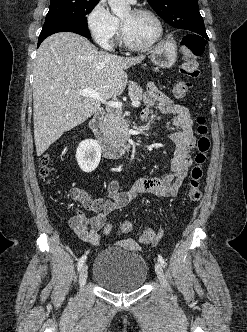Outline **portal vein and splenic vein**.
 I'll return each mask as SVG.
<instances>
[{
  "mask_svg": "<svg viewBox=\"0 0 247 332\" xmlns=\"http://www.w3.org/2000/svg\"><path fill=\"white\" fill-rule=\"evenodd\" d=\"M75 93L84 96V97H89V98H93V99H97L99 101H101L104 104H107L110 107L113 108H121L122 107V102L119 101H106V99H102L99 94L93 90V89H81L76 91ZM132 106L134 107H139L140 106V101L138 100H134L132 101Z\"/></svg>",
  "mask_w": 247,
  "mask_h": 332,
  "instance_id": "obj_1",
  "label": "portal vein and splenic vein"
}]
</instances>
